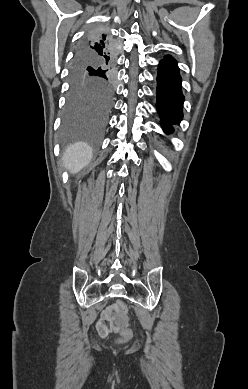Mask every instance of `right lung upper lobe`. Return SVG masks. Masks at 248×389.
<instances>
[{
    "mask_svg": "<svg viewBox=\"0 0 248 389\" xmlns=\"http://www.w3.org/2000/svg\"><path fill=\"white\" fill-rule=\"evenodd\" d=\"M98 34V32H93L91 35L88 36V38L86 39L87 42H92V39L94 36H96ZM106 42V40L104 41ZM105 44V43H103ZM102 43L100 45H98L97 47H92L90 45L89 50L92 52V57L94 59H99V60H103L107 63H111L112 64V61H113V58H114V55H115V50H114V47L113 45L109 42V48L106 50V52H104V50H101L99 49L98 47H102Z\"/></svg>",
    "mask_w": 248,
    "mask_h": 389,
    "instance_id": "cb5924a9",
    "label": "right lung upper lobe"
}]
</instances>
